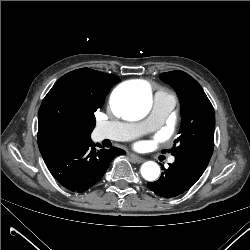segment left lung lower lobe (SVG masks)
<instances>
[{
  "instance_id": "1",
  "label": "left lung lower lobe",
  "mask_w": 250,
  "mask_h": 250,
  "mask_svg": "<svg viewBox=\"0 0 250 250\" xmlns=\"http://www.w3.org/2000/svg\"><path fill=\"white\" fill-rule=\"evenodd\" d=\"M213 148L190 149L175 155V162L163 168L159 180L149 182V188L159 196L171 198L187 191L203 174Z\"/></svg>"
}]
</instances>
